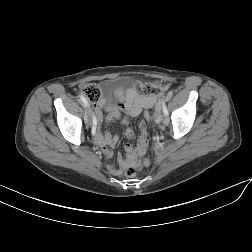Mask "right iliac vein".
Masks as SVG:
<instances>
[{
    "label": "right iliac vein",
    "mask_w": 252,
    "mask_h": 252,
    "mask_svg": "<svg viewBox=\"0 0 252 252\" xmlns=\"http://www.w3.org/2000/svg\"><path fill=\"white\" fill-rule=\"evenodd\" d=\"M92 118H93V114L91 110L88 109L85 114V122L90 125L92 123Z\"/></svg>",
    "instance_id": "right-iliac-vein-1"
}]
</instances>
